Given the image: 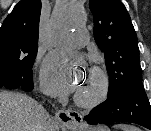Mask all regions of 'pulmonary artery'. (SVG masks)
<instances>
[{
  "instance_id": "1",
  "label": "pulmonary artery",
  "mask_w": 151,
  "mask_h": 131,
  "mask_svg": "<svg viewBox=\"0 0 151 131\" xmlns=\"http://www.w3.org/2000/svg\"><path fill=\"white\" fill-rule=\"evenodd\" d=\"M88 41V32L85 29H77L75 32L67 35L61 44L65 47H82L85 46Z\"/></svg>"
}]
</instances>
